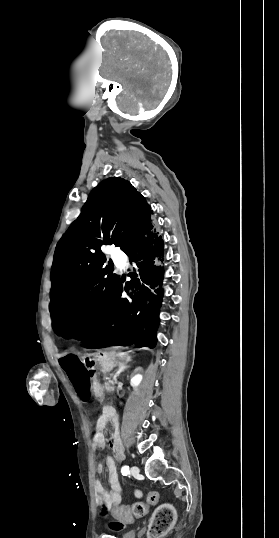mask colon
I'll return each instance as SVG.
<instances>
[{"label": "colon", "mask_w": 279, "mask_h": 538, "mask_svg": "<svg viewBox=\"0 0 279 538\" xmlns=\"http://www.w3.org/2000/svg\"><path fill=\"white\" fill-rule=\"evenodd\" d=\"M159 494L156 491L149 492L145 501H138L129 506H120L113 511V515L121 521L130 522L135 518L144 516L149 507L157 504ZM101 509L104 514L110 510V506L101 503ZM175 521V511L172 506L165 505L160 507L154 514L150 535L157 537L165 534Z\"/></svg>", "instance_id": "colon-1"}]
</instances>
